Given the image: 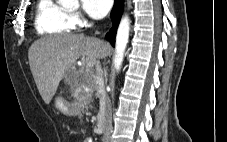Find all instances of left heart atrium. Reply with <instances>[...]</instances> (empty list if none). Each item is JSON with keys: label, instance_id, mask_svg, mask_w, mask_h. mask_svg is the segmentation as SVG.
Returning a JSON list of instances; mask_svg holds the SVG:
<instances>
[{"label": "left heart atrium", "instance_id": "obj_1", "mask_svg": "<svg viewBox=\"0 0 227 142\" xmlns=\"http://www.w3.org/2000/svg\"><path fill=\"white\" fill-rule=\"evenodd\" d=\"M113 0H81L82 8L89 16L99 19L110 10Z\"/></svg>", "mask_w": 227, "mask_h": 142}]
</instances>
